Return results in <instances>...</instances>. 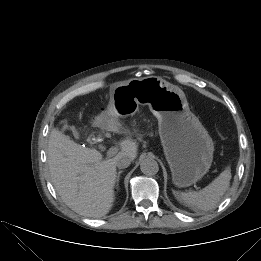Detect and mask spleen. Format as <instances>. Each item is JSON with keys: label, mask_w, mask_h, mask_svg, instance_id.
<instances>
[{"label": "spleen", "mask_w": 261, "mask_h": 261, "mask_svg": "<svg viewBox=\"0 0 261 261\" xmlns=\"http://www.w3.org/2000/svg\"><path fill=\"white\" fill-rule=\"evenodd\" d=\"M231 171L225 169L212 183L198 192H176V199L190 207L194 211H208L213 209L219 202L220 198L229 188Z\"/></svg>", "instance_id": "spleen-1"}]
</instances>
